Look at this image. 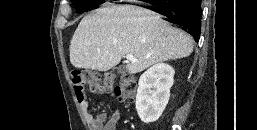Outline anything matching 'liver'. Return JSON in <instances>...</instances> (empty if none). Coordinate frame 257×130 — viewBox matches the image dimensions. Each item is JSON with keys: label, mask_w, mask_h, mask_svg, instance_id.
Masks as SVG:
<instances>
[{"label": "liver", "mask_w": 257, "mask_h": 130, "mask_svg": "<svg viewBox=\"0 0 257 130\" xmlns=\"http://www.w3.org/2000/svg\"><path fill=\"white\" fill-rule=\"evenodd\" d=\"M193 39L170 26L153 11L136 6L98 8L79 23L70 45V62L76 68L108 71L128 54L136 74L160 62L189 56Z\"/></svg>", "instance_id": "6515ba94"}]
</instances>
